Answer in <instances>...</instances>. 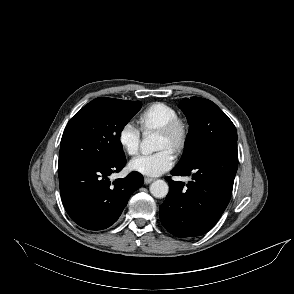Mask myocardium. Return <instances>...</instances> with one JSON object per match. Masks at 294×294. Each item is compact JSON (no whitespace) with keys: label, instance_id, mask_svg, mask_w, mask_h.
I'll return each mask as SVG.
<instances>
[{"label":"myocardium","instance_id":"1","mask_svg":"<svg viewBox=\"0 0 294 294\" xmlns=\"http://www.w3.org/2000/svg\"><path fill=\"white\" fill-rule=\"evenodd\" d=\"M157 131L171 140V150L174 153L181 154L186 149L190 136V128L186 121L177 118Z\"/></svg>","mask_w":294,"mask_h":294}]
</instances>
